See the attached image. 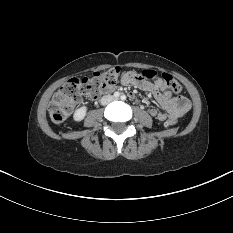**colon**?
I'll return each instance as SVG.
<instances>
[{
  "mask_svg": "<svg viewBox=\"0 0 233 233\" xmlns=\"http://www.w3.org/2000/svg\"><path fill=\"white\" fill-rule=\"evenodd\" d=\"M122 75L119 67L96 72L92 77H74L68 80L55 93L49 104V114L54 122L66 120L73 108L83 97L97 98L103 91H110ZM140 75L146 81L157 80L165 85L173 94L181 92V85L169 74L158 76L154 70H144ZM176 120L170 119L167 124L175 125Z\"/></svg>",
  "mask_w": 233,
  "mask_h": 233,
  "instance_id": "colon-1",
  "label": "colon"
}]
</instances>
